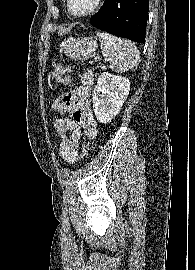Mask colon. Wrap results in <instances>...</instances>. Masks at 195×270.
<instances>
[{
	"label": "colon",
	"mask_w": 195,
	"mask_h": 270,
	"mask_svg": "<svg viewBox=\"0 0 195 270\" xmlns=\"http://www.w3.org/2000/svg\"><path fill=\"white\" fill-rule=\"evenodd\" d=\"M56 81L61 85H69L70 84V78L67 73H58L56 75ZM75 98L74 90L65 92L58 96L53 104L52 109L54 111L63 110L69 108ZM88 153V146L84 143L81 145V157L84 158Z\"/></svg>",
	"instance_id": "colon-1"
}]
</instances>
